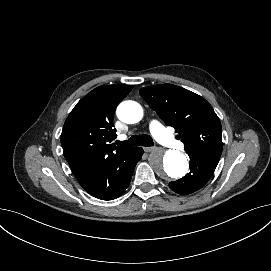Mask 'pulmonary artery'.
Here are the masks:
<instances>
[{"mask_svg": "<svg viewBox=\"0 0 271 271\" xmlns=\"http://www.w3.org/2000/svg\"><path fill=\"white\" fill-rule=\"evenodd\" d=\"M149 129L150 131L155 135V137L158 139V141L165 145L170 146L171 148H177L178 150H182L186 148L185 144H182L181 142L175 141V138L171 135H168L165 133V131L160 126V122L158 119L153 118L149 122ZM126 139V136H120L119 140L123 141ZM172 159V158H171Z\"/></svg>", "mask_w": 271, "mask_h": 271, "instance_id": "pulmonary-artery-1", "label": "pulmonary artery"}]
</instances>
